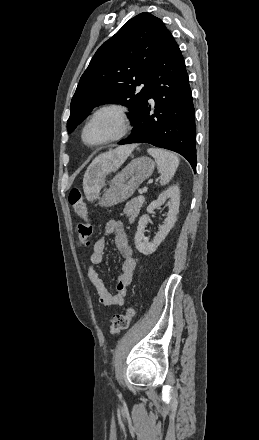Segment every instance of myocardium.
I'll use <instances>...</instances> for the list:
<instances>
[{"instance_id": "obj_1", "label": "myocardium", "mask_w": 259, "mask_h": 440, "mask_svg": "<svg viewBox=\"0 0 259 440\" xmlns=\"http://www.w3.org/2000/svg\"><path fill=\"white\" fill-rule=\"evenodd\" d=\"M104 113H111L116 116V118L118 120V124H119L118 132L114 136H112L106 140H103L101 142H97V143L87 142L85 140V131H86L87 127L96 117H98ZM131 126H132V123H131L130 109L125 104L118 103V102L107 103V104H104V105L97 107L95 110H93L87 116V118L85 119V121L82 124V127L80 129V140L85 146L90 147V148L102 147V146L117 142V141L121 140L122 138H124L131 130Z\"/></svg>"}]
</instances>
